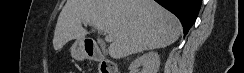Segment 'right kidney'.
<instances>
[{
	"mask_svg": "<svg viewBox=\"0 0 244 73\" xmlns=\"http://www.w3.org/2000/svg\"><path fill=\"white\" fill-rule=\"evenodd\" d=\"M143 66L141 73H157L160 66V57L156 52H148L135 59L129 66L133 73H140L139 67Z\"/></svg>",
	"mask_w": 244,
	"mask_h": 73,
	"instance_id": "right-kidney-1",
	"label": "right kidney"
}]
</instances>
